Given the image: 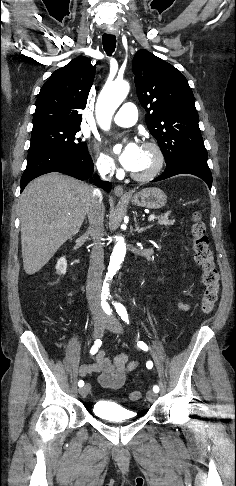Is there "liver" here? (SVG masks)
<instances>
[{
	"mask_svg": "<svg viewBox=\"0 0 236 486\" xmlns=\"http://www.w3.org/2000/svg\"><path fill=\"white\" fill-rule=\"evenodd\" d=\"M92 193L91 186L57 172L27 185L19 205L23 266L28 275L38 272L79 232Z\"/></svg>",
	"mask_w": 236,
	"mask_h": 486,
	"instance_id": "liver-1",
	"label": "liver"
}]
</instances>
